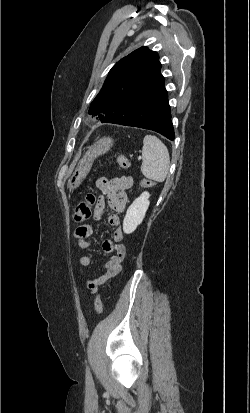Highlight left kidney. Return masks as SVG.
<instances>
[{"label":"left kidney","mask_w":250,"mask_h":413,"mask_svg":"<svg viewBox=\"0 0 250 413\" xmlns=\"http://www.w3.org/2000/svg\"><path fill=\"white\" fill-rule=\"evenodd\" d=\"M149 197L150 194L148 192H143L140 197L135 199L129 206L123 220L124 233L130 234L134 232L137 226L142 223L150 204Z\"/></svg>","instance_id":"obj_1"}]
</instances>
